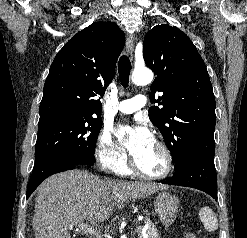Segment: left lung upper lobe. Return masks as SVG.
<instances>
[{
  "instance_id": "5c2ea615",
  "label": "left lung upper lobe",
  "mask_w": 247,
  "mask_h": 238,
  "mask_svg": "<svg viewBox=\"0 0 247 238\" xmlns=\"http://www.w3.org/2000/svg\"><path fill=\"white\" fill-rule=\"evenodd\" d=\"M146 65L157 75L150 87L149 118L175 162L188 155L214 158L215 97L207 68L189 37L175 26L156 25L143 42ZM163 95L155 100V94Z\"/></svg>"
}]
</instances>
